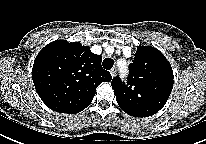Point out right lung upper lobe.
<instances>
[{
  "instance_id": "right-lung-upper-lobe-1",
  "label": "right lung upper lobe",
  "mask_w": 206,
  "mask_h": 144,
  "mask_svg": "<svg viewBox=\"0 0 206 144\" xmlns=\"http://www.w3.org/2000/svg\"><path fill=\"white\" fill-rule=\"evenodd\" d=\"M102 57L79 42L56 40L37 55L32 69L35 89L50 109L78 113L92 101L101 82H110V73L101 66Z\"/></svg>"
}]
</instances>
